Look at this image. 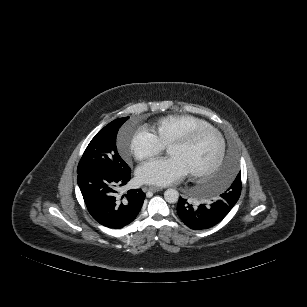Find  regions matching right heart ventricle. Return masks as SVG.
I'll list each match as a JSON object with an SVG mask.
<instances>
[{
  "label": "right heart ventricle",
  "instance_id": "right-heart-ventricle-1",
  "mask_svg": "<svg viewBox=\"0 0 307 307\" xmlns=\"http://www.w3.org/2000/svg\"><path fill=\"white\" fill-rule=\"evenodd\" d=\"M211 126L207 121L189 114L167 115L155 123V132L159 140L168 145L182 134L198 128Z\"/></svg>",
  "mask_w": 307,
  "mask_h": 307
}]
</instances>
